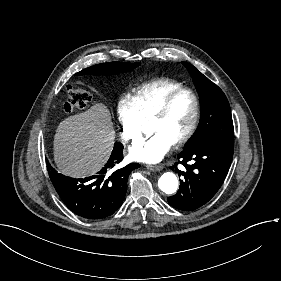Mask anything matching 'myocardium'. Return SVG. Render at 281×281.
Returning a JSON list of instances; mask_svg holds the SVG:
<instances>
[{
  "label": "myocardium",
  "mask_w": 281,
  "mask_h": 281,
  "mask_svg": "<svg viewBox=\"0 0 281 281\" xmlns=\"http://www.w3.org/2000/svg\"><path fill=\"white\" fill-rule=\"evenodd\" d=\"M182 95H189L191 97L193 101V115L190 125L184 135L172 143V145L176 147L186 144L192 138L198 126L200 118V103L198 97L193 91L184 88L172 93L157 107L156 110L144 119L145 124L150 121L160 119L165 115L171 104Z\"/></svg>",
  "instance_id": "1"
}]
</instances>
